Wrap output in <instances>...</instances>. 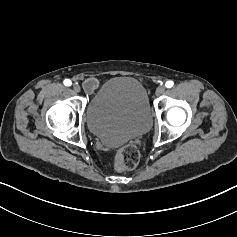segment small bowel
Masks as SVG:
<instances>
[{
    "label": "small bowel",
    "mask_w": 237,
    "mask_h": 237,
    "mask_svg": "<svg viewBox=\"0 0 237 237\" xmlns=\"http://www.w3.org/2000/svg\"><path fill=\"white\" fill-rule=\"evenodd\" d=\"M85 89L92 92L98 86V80L94 77L88 78L84 83Z\"/></svg>",
    "instance_id": "1"
}]
</instances>
